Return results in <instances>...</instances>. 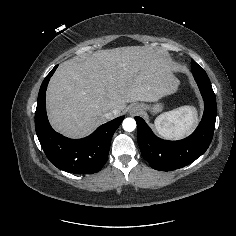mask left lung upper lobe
<instances>
[{
  "label": "left lung upper lobe",
  "mask_w": 236,
  "mask_h": 236,
  "mask_svg": "<svg viewBox=\"0 0 236 236\" xmlns=\"http://www.w3.org/2000/svg\"><path fill=\"white\" fill-rule=\"evenodd\" d=\"M191 65L193 73H206L194 60H191Z\"/></svg>",
  "instance_id": "obj_1"
}]
</instances>
